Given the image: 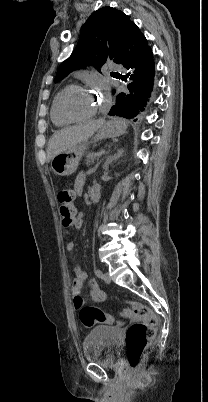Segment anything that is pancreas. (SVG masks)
I'll return each mask as SVG.
<instances>
[{
    "label": "pancreas",
    "instance_id": "cf45deb5",
    "mask_svg": "<svg viewBox=\"0 0 208 402\" xmlns=\"http://www.w3.org/2000/svg\"><path fill=\"white\" fill-rule=\"evenodd\" d=\"M102 152H97V154H94V152H90V154H88V156H86V162H87V166H90V164H92L94 158H99V156H101Z\"/></svg>",
    "mask_w": 208,
    "mask_h": 402
}]
</instances>
